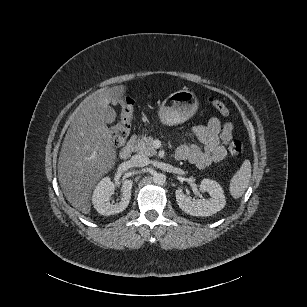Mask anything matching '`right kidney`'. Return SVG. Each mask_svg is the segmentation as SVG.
<instances>
[{"instance_id":"obj_1","label":"right kidney","mask_w":307,"mask_h":307,"mask_svg":"<svg viewBox=\"0 0 307 307\" xmlns=\"http://www.w3.org/2000/svg\"><path fill=\"white\" fill-rule=\"evenodd\" d=\"M132 184L133 182L131 180H125L121 188V201L116 204H111L110 197L114 193V184L109 177L103 178L93 192L92 203L94 208L98 213L105 216L122 212L129 205Z\"/></svg>"}]
</instances>
